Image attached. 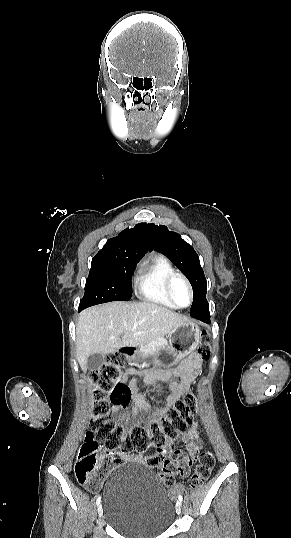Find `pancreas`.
Returning a JSON list of instances; mask_svg holds the SVG:
<instances>
[{
    "label": "pancreas",
    "mask_w": 291,
    "mask_h": 538,
    "mask_svg": "<svg viewBox=\"0 0 291 538\" xmlns=\"http://www.w3.org/2000/svg\"><path fill=\"white\" fill-rule=\"evenodd\" d=\"M168 346L167 342L161 340H153L140 347L139 353L141 355H151L156 353L160 349H165Z\"/></svg>",
    "instance_id": "obj_1"
}]
</instances>
